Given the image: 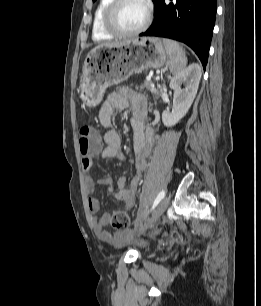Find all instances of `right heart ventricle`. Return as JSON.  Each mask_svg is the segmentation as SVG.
<instances>
[{"label": "right heart ventricle", "mask_w": 261, "mask_h": 306, "mask_svg": "<svg viewBox=\"0 0 261 306\" xmlns=\"http://www.w3.org/2000/svg\"><path fill=\"white\" fill-rule=\"evenodd\" d=\"M110 1L111 0H99L94 11L92 22V38L94 41H105L113 37V35L104 28L102 23L104 10Z\"/></svg>", "instance_id": "e07e8e85"}]
</instances>
